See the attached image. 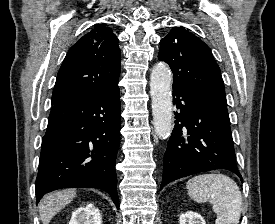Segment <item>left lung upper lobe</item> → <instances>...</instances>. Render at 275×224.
<instances>
[{"label": "left lung upper lobe", "mask_w": 275, "mask_h": 224, "mask_svg": "<svg viewBox=\"0 0 275 224\" xmlns=\"http://www.w3.org/2000/svg\"><path fill=\"white\" fill-rule=\"evenodd\" d=\"M158 58L173 72V87L194 91L227 105L220 68L209 47L183 27L160 41Z\"/></svg>", "instance_id": "5c2ea615"}]
</instances>
